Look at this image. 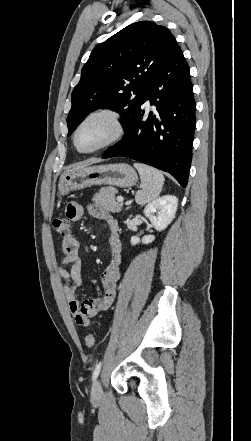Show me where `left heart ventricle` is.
Masks as SVG:
<instances>
[{"instance_id":"left-heart-ventricle-1","label":"left heart ventricle","mask_w":251,"mask_h":441,"mask_svg":"<svg viewBox=\"0 0 251 441\" xmlns=\"http://www.w3.org/2000/svg\"><path fill=\"white\" fill-rule=\"evenodd\" d=\"M113 133L112 123L105 117H95L89 120L78 134V145L82 150L92 149Z\"/></svg>"}]
</instances>
